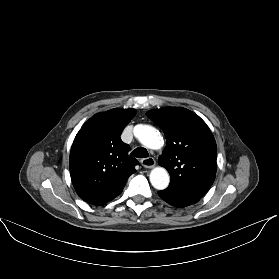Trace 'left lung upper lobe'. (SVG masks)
Masks as SVG:
<instances>
[{"label":"left lung upper lobe","instance_id":"5c2ea615","mask_svg":"<svg viewBox=\"0 0 279 279\" xmlns=\"http://www.w3.org/2000/svg\"><path fill=\"white\" fill-rule=\"evenodd\" d=\"M166 137L158 162L170 173L165 192L199 201L214 182L217 146L206 123L182 107H164L146 113Z\"/></svg>","mask_w":279,"mask_h":279}]
</instances>
